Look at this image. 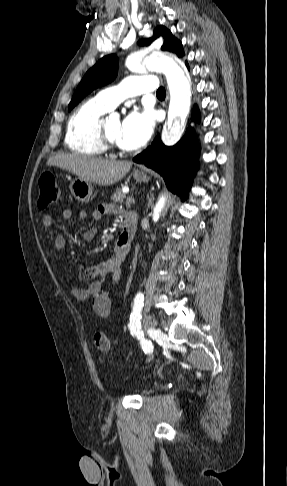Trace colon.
Listing matches in <instances>:
<instances>
[{
    "mask_svg": "<svg viewBox=\"0 0 287 486\" xmlns=\"http://www.w3.org/2000/svg\"><path fill=\"white\" fill-rule=\"evenodd\" d=\"M59 197V187L55 176L52 173H44L38 180L37 205L40 209H45L54 204ZM94 345L100 351L109 348V339L102 330H97L94 334Z\"/></svg>",
    "mask_w": 287,
    "mask_h": 486,
    "instance_id": "obj_1",
    "label": "colon"
}]
</instances>
